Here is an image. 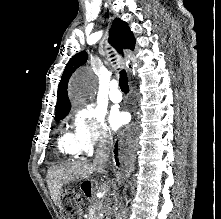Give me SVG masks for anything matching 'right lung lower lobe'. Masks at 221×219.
Wrapping results in <instances>:
<instances>
[{
    "label": "right lung lower lobe",
    "mask_w": 221,
    "mask_h": 219,
    "mask_svg": "<svg viewBox=\"0 0 221 219\" xmlns=\"http://www.w3.org/2000/svg\"><path fill=\"white\" fill-rule=\"evenodd\" d=\"M117 151H118V144L116 143V144H115L114 153L116 154ZM116 162H117V164H118V160H117V158H116Z\"/></svg>",
    "instance_id": "1"
}]
</instances>
